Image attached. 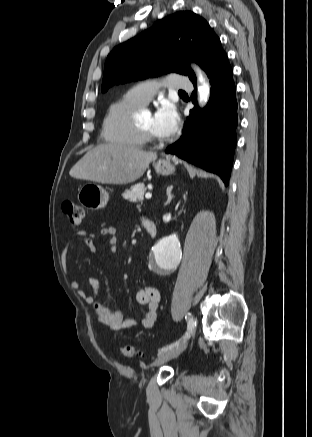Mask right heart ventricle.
I'll use <instances>...</instances> for the list:
<instances>
[{
	"instance_id": "1",
	"label": "right heart ventricle",
	"mask_w": 312,
	"mask_h": 437,
	"mask_svg": "<svg viewBox=\"0 0 312 437\" xmlns=\"http://www.w3.org/2000/svg\"><path fill=\"white\" fill-rule=\"evenodd\" d=\"M143 107L142 104L124 95L112 103L103 120L102 136L112 144L138 148L144 145L134 122V114Z\"/></svg>"
}]
</instances>
